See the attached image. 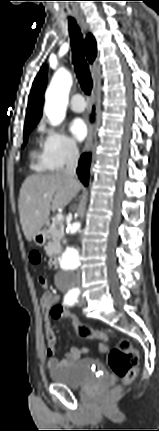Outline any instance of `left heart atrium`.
Segmentation results:
<instances>
[{
    "instance_id": "39dd6f15",
    "label": "left heart atrium",
    "mask_w": 159,
    "mask_h": 431,
    "mask_svg": "<svg viewBox=\"0 0 159 431\" xmlns=\"http://www.w3.org/2000/svg\"><path fill=\"white\" fill-rule=\"evenodd\" d=\"M69 131L76 141H82L87 135V126L83 119L75 118L69 125Z\"/></svg>"
}]
</instances>
